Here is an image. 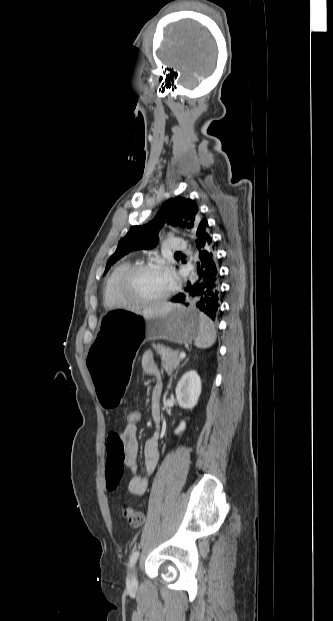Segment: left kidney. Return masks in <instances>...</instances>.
<instances>
[{"label":"left kidney","instance_id":"1","mask_svg":"<svg viewBox=\"0 0 333 621\" xmlns=\"http://www.w3.org/2000/svg\"><path fill=\"white\" fill-rule=\"evenodd\" d=\"M202 386L201 379L196 371L186 372L176 387V398L178 404L182 408L193 409L199 400V396L201 394ZM186 428L185 421L180 422L178 428H176L175 433L179 434L184 431Z\"/></svg>","mask_w":333,"mask_h":621}]
</instances>
